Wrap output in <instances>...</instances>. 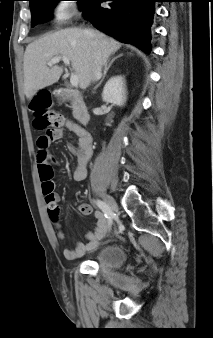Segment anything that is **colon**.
Segmentation results:
<instances>
[{"label":"colon","mask_w":213,"mask_h":338,"mask_svg":"<svg viewBox=\"0 0 213 338\" xmlns=\"http://www.w3.org/2000/svg\"><path fill=\"white\" fill-rule=\"evenodd\" d=\"M61 103H65V99L58 100ZM52 97L49 93H40L34 97L31 108L35 115V126L40 129L46 130V135L51 136L53 129L60 126L64 122L62 115L52 111L51 109ZM43 194L46 198H49L53 193L54 182L53 172L42 171L40 175ZM55 221V220H54Z\"/></svg>","instance_id":"obj_1"}]
</instances>
